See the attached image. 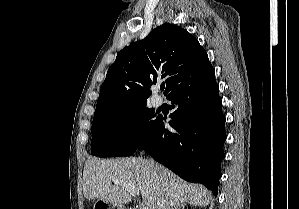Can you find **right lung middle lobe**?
<instances>
[{
    "label": "right lung middle lobe",
    "mask_w": 299,
    "mask_h": 209,
    "mask_svg": "<svg viewBox=\"0 0 299 209\" xmlns=\"http://www.w3.org/2000/svg\"><path fill=\"white\" fill-rule=\"evenodd\" d=\"M154 110L133 105L94 116L91 152L98 157L130 156L155 123Z\"/></svg>",
    "instance_id": "dd1d6c3e"
}]
</instances>
